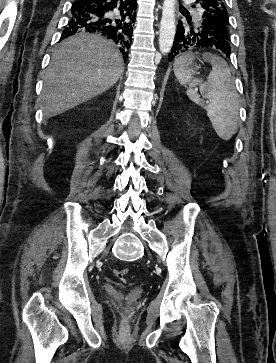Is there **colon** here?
<instances>
[{"label":"colon","instance_id":"obj_1","mask_svg":"<svg viewBox=\"0 0 276 363\" xmlns=\"http://www.w3.org/2000/svg\"><path fill=\"white\" fill-rule=\"evenodd\" d=\"M128 274V269H115L114 270V275L117 279H119L120 281H124L126 276Z\"/></svg>","mask_w":276,"mask_h":363}]
</instances>
